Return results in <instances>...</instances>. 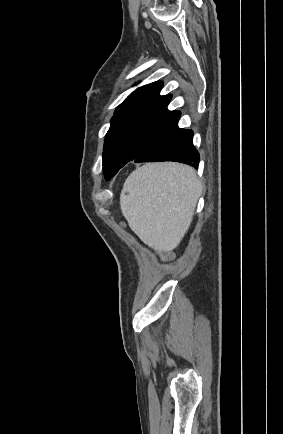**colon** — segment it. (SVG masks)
Here are the masks:
<instances>
[{
  "label": "colon",
  "instance_id": "obj_1",
  "mask_svg": "<svg viewBox=\"0 0 283 434\" xmlns=\"http://www.w3.org/2000/svg\"><path fill=\"white\" fill-rule=\"evenodd\" d=\"M163 257L166 258V259L168 258L167 256H163Z\"/></svg>",
  "mask_w": 283,
  "mask_h": 434
}]
</instances>
